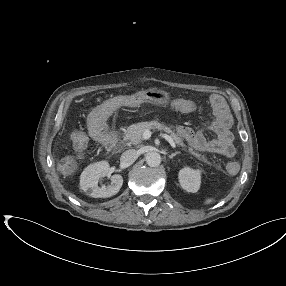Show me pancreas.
I'll return each mask as SVG.
<instances>
[{"mask_svg": "<svg viewBox=\"0 0 286 286\" xmlns=\"http://www.w3.org/2000/svg\"><path fill=\"white\" fill-rule=\"evenodd\" d=\"M146 129H156V130H162L169 134V136L173 139L174 143L178 146L185 147V144L183 143L180 136L175 133V131L172 129V127H168L163 123H160L158 121H150V122H141L138 124H134L128 127L124 140L129 141L132 144H138L143 140V133ZM190 153L194 155L199 160H202L206 162V158L202 156L201 154L193 151V149H189Z\"/></svg>", "mask_w": 286, "mask_h": 286, "instance_id": "obj_1", "label": "pancreas"}]
</instances>
